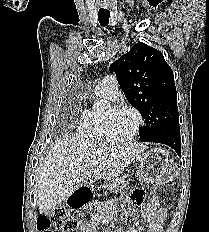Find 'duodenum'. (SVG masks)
Segmentation results:
<instances>
[{
  "label": "duodenum",
  "instance_id": "1",
  "mask_svg": "<svg viewBox=\"0 0 209 232\" xmlns=\"http://www.w3.org/2000/svg\"><path fill=\"white\" fill-rule=\"evenodd\" d=\"M91 197V189L86 185H80L69 197V203L72 208H82L91 200Z\"/></svg>",
  "mask_w": 209,
  "mask_h": 232
}]
</instances>
